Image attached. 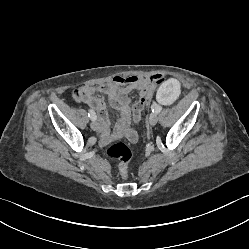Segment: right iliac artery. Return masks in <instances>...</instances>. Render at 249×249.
Listing matches in <instances>:
<instances>
[{"label":"right iliac artery","mask_w":249,"mask_h":249,"mask_svg":"<svg viewBox=\"0 0 249 249\" xmlns=\"http://www.w3.org/2000/svg\"><path fill=\"white\" fill-rule=\"evenodd\" d=\"M88 116H89L92 120H96V119H97L96 113H95L93 110H91V109L88 110Z\"/></svg>","instance_id":"obj_1"}]
</instances>
